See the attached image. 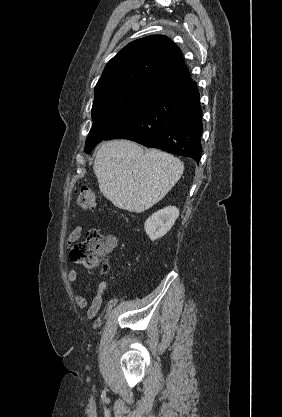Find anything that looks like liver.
Masks as SVG:
<instances>
[{"mask_svg": "<svg viewBox=\"0 0 282 417\" xmlns=\"http://www.w3.org/2000/svg\"><path fill=\"white\" fill-rule=\"evenodd\" d=\"M93 170L99 188L118 209L147 211L183 174L184 164L168 152H144L132 140H108L100 146Z\"/></svg>", "mask_w": 282, "mask_h": 417, "instance_id": "liver-1", "label": "liver"}]
</instances>
